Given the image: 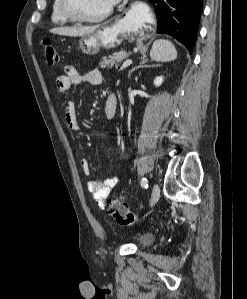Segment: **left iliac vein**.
<instances>
[{
  "label": "left iliac vein",
  "mask_w": 247,
  "mask_h": 299,
  "mask_svg": "<svg viewBox=\"0 0 247 299\" xmlns=\"http://www.w3.org/2000/svg\"><path fill=\"white\" fill-rule=\"evenodd\" d=\"M159 197H160V188H159L158 184H154L153 189H152L150 206H154L157 203Z\"/></svg>",
  "instance_id": "left-iliac-vein-1"
}]
</instances>
